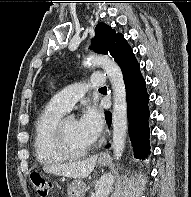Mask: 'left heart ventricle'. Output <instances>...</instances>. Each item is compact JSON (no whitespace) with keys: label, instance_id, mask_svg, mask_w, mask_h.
<instances>
[{"label":"left heart ventricle","instance_id":"left-heart-ventricle-1","mask_svg":"<svg viewBox=\"0 0 191 197\" xmlns=\"http://www.w3.org/2000/svg\"><path fill=\"white\" fill-rule=\"evenodd\" d=\"M65 131L67 144L73 151H80L90 145L81 137L75 119L68 118L66 120Z\"/></svg>","mask_w":191,"mask_h":197}]
</instances>
